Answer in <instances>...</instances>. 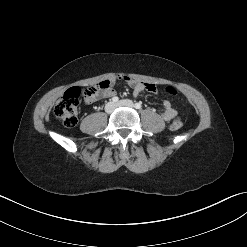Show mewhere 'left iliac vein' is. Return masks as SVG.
<instances>
[{"label":"left iliac vein","mask_w":247,"mask_h":247,"mask_svg":"<svg viewBox=\"0 0 247 247\" xmlns=\"http://www.w3.org/2000/svg\"><path fill=\"white\" fill-rule=\"evenodd\" d=\"M117 106H125V107H129V108H133L134 107V104L131 100H128V99H125V100H120L118 103H117Z\"/></svg>","instance_id":"left-iliac-vein-1"}]
</instances>
